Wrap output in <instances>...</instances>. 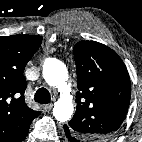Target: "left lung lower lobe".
Masks as SVG:
<instances>
[{"mask_svg":"<svg viewBox=\"0 0 142 142\" xmlns=\"http://www.w3.org/2000/svg\"><path fill=\"white\" fill-rule=\"evenodd\" d=\"M64 131H65V136H66V139L69 141V142H80L77 137L75 135L72 134V132L70 131V129L64 125Z\"/></svg>","mask_w":142,"mask_h":142,"instance_id":"left-lung-lower-lobe-1","label":"left lung lower lobe"}]
</instances>
